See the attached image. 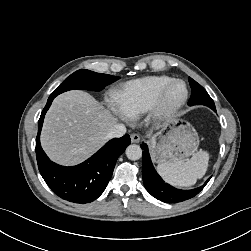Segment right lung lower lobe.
<instances>
[{
	"label": "right lung lower lobe",
	"mask_w": 251,
	"mask_h": 251,
	"mask_svg": "<svg viewBox=\"0 0 251 251\" xmlns=\"http://www.w3.org/2000/svg\"><path fill=\"white\" fill-rule=\"evenodd\" d=\"M51 94L38 121L36 157L39 171L50 189L64 200L74 203H89L97 199L105 190L118 157L131 143L129 135L114 138L85 162L64 167L50 161L40 144V132L44 116L53 99Z\"/></svg>",
	"instance_id": "98d812e1"
}]
</instances>
